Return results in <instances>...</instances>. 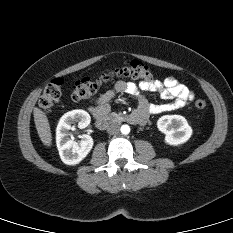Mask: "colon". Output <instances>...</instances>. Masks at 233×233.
Returning a JSON list of instances; mask_svg holds the SVG:
<instances>
[{
	"label": "colon",
	"mask_w": 233,
	"mask_h": 233,
	"mask_svg": "<svg viewBox=\"0 0 233 233\" xmlns=\"http://www.w3.org/2000/svg\"><path fill=\"white\" fill-rule=\"evenodd\" d=\"M116 77L150 81L152 79V72L144 63L137 60H129L122 66L96 78L85 77L77 81L72 86L71 98L75 101L90 98L103 83ZM62 85L63 81L61 79H55L45 86L39 98V106L44 111L51 112L55 104L60 100L62 96ZM195 106L198 109H204L206 102L199 99L195 102Z\"/></svg>",
	"instance_id": "5ec220e1"
}]
</instances>
